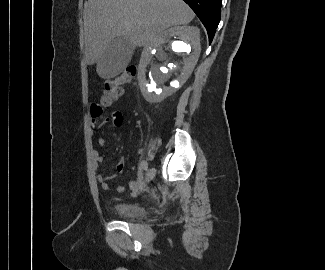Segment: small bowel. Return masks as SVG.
<instances>
[{
  "instance_id": "obj_1",
  "label": "small bowel",
  "mask_w": 325,
  "mask_h": 270,
  "mask_svg": "<svg viewBox=\"0 0 325 270\" xmlns=\"http://www.w3.org/2000/svg\"><path fill=\"white\" fill-rule=\"evenodd\" d=\"M112 104H108V103H93L91 105V116H92V121H91V125L92 127H96L97 126V120L96 118L100 117V120H105L103 122V124H107L110 126H119L121 125L122 121H123V115L120 111H114L111 115L110 118H106L105 119V115H102L104 113V110H108L109 106H111ZM97 144L100 148V150H95L93 153V157H94V161H95V167L97 168L105 159V147H106V142L105 139L102 137H99L97 139ZM117 172L121 173L124 169V162L121 161L117 167ZM115 177L114 174H109V175H105V174H98L97 175V180L100 183L101 187L103 190H109L110 189V184L109 181L111 179H113ZM141 187V176L138 175V178L136 180H131L129 182V188L131 190V192L133 194L138 193L139 189ZM116 191L118 193H122L124 191V187L123 186H117L116 187Z\"/></svg>"
}]
</instances>
